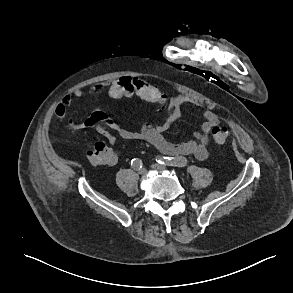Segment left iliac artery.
<instances>
[{
	"label": "left iliac artery",
	"mask_w": 293,
	"mask_h": 293,
	"mask_svg": "<svg viewBox=\"0 0 293 293\" xmlns=\"http://www.w3.org/2000/svg\"><path fill=\"white\" fill-rule=\"evenodd\" d=\"M155 161L161 165H167V166H178L183 167L186 165L187 160L183 157L173 158V157H161L157 156Z\"/></svg>",
	"instance_id": "44dca946"
}]
</instances>
